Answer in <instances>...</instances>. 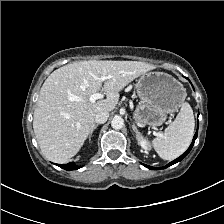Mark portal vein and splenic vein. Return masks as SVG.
<instances>
[{
  "mask_svg": "<svg viewBox=\"0 0 224 224\" xmlns=\"http://www.w3.org/2000/svg\"><path fill=\"white\" fill-rule=\"evenodd\" d=\"M109 77L107 76H101L99 79L103 82L105 81L106 79H108ZM104 97L103 94L101 93H95V94H92L89 98L90 102L94 103L96 100L98 99H102ZM77 97L76 96H70V100H76Z\"/></svg>",
  "mask_w": 224,
  "mask_h": 224,
  "instance_id": "obj_1",
  "label": "portal vein and splenic vein"
}]
</instances>
